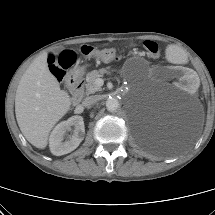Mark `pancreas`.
Wrapping results in <instances>:
<instances>
[{"label":"pancreas","instance_id":"obj_1","mask_svg":"<svg viewBox=\"0 0 215 215\" xmlns=\"http://www.w3.org/2000/svg\"><path fill=\"white\" fill-rule=\"evenodd\" d=\"M105 73H109L108 68H102L99 70H93L86 75L85 93L86 95L93 94L95 92L101 91L100 85L97 84L96 80L102 77Z\"/></svg>","mask_w":215,"mask_h":215}]
</instances>
